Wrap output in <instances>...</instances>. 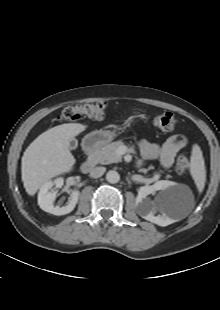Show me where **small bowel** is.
I'll return each instance as SVG.
<instances>
[{
	"label": "small bowel",
	"instance_id": "c3829d8e",
	"mask_svg": "<svg viewBox=\"0 0 220 310\" xmlns=\"http://www.w3.org/2000/svg\"><path fill=\"white\" fill-rule=\"evenodd\" d=\"M187 144V138L178 134L168 138L162 145L142 140L140 142V151L144 159L158 158L164 167L169 168L178 152L184 149Z\"/></svg>",
	"mask_w": 220,
	"mask_h": 310
}]
</instances>
